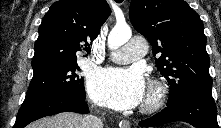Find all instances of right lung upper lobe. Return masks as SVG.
I'll return each instance as SVG.
<instances>
[{
	"mask_svg": "<svg viewBox=\"0 0 221 128\" xmlns=\"http://www.w3.org/2000/svg\"><path fill=\"white\" fill-rule=\"evenodd\" d=\"M110 8L106 0H60L49 8L39 27L32 59L34 73L76 62V52H90Z\"/></svg>",
	"mask_w": 221,
	"mask_h": 128,
	"instance_id": "cb5924a9",
	"label": "right lung upper lobe"
}]
</instances>
